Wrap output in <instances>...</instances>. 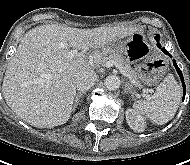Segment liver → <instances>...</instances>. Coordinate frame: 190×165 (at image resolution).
Instances as JSON below:
<instances>
[{
  "mask_svg": "<svg viewBox=\"0 0 190 165\" xmlns=\"http://www.w3.org/2000/svg\"><path fill=\"white\" fill-rule=\"evenodd\" d=\"M136 32L133 27L79 29L61 24L28 31L10 59L2 92L20 118L39 128L66 123L73 111L75 80L102 63V49ZM94 49L89 57L68 55L69 49Z\"/></svg>",
  "mask_w": 190,
  "mask_h": 165,
  "instance_id": "6515ba94",
  "label": "liver"
}]
</instances>
